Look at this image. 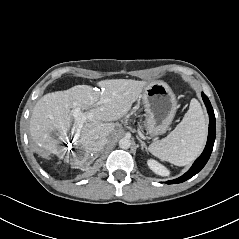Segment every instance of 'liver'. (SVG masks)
Masks as SVG:
<instances>
[{
    "label": "liver",
    "mask_w": 239,
    "mask_h": 239,
    "mask_svg": "<svg viewBox=\"0 0 239 239\" xmlns=\"http://www.w3.org/2000/svg\"><path fill=\"white\" fill-rule=\"evenodd\" d=\"M146 81L111 79L98 83L95 90L88 85H77L68 90L47 93L35 104L30 119V134L40 154L59 155L61 143L69 141L68 132H80L76 142L82 145L83 156H75L74 165L90 162V154L97 153L95 144L100 138L109 137L115 129L113 121L126 115L142 93ZM80 108L86 117L81 124L72 118V110Z\"/></svg>",
    "instance_id": "6515ba94"
}]
</instances>
